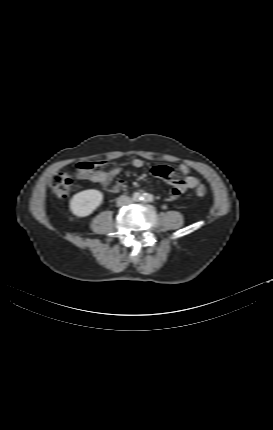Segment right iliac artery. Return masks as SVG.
Returning <instances> with one entry per match:
<instances>
[{"label":"right iliac artery","instance_id":"1","mask_svg":"<svg viewBox=\"0 0 273 430\" xmlns=\"http://www.w3.org/2000/svg\"><path fill=\"white\" fill-rule=\"evenodd\" d=\"M142 196H143V195L136 194V195L134 196V199H135L136 201L141 200V199H142Z\"/></svg>","mask_w":273,"mask_h":430}]
</instances>
